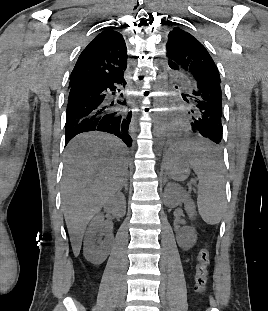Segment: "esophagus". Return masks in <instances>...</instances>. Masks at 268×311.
Returning <instances> with one entry per match:
<instances>
[{"instance_id": "obj_1", "label": "esophagus", "mask_w": 268, "mask_h": 311, "mask_svg": "<svg viewBox=\"0 0 268 311\" xmlns=\"http://www.w3.org/2000/svg\"><path fill=\"white\" fill-rule=\"evenodd\" d=\"M148 93V92H147ZM139 96H140V101L141 102H144L145 101V98H146V95L144 94V92H140L139 93Z\"/></svg>"}]
</instances>
